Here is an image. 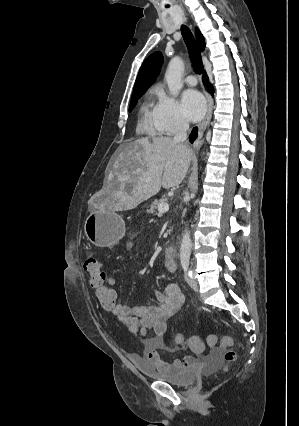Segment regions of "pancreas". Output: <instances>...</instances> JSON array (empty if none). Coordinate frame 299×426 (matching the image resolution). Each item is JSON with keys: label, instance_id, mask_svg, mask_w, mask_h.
I'll list each match as a JSON object with an SVG mask.
<instances>
[{"label": "pancreas", "instance_id": "cf45deb5", "mask_svg": "<svg viewBox=\"0 0 299 426\" xmlns=\"http://www.w3.org/2000/svg\"><path fill=\"white\" fill-rule=\"evenodd\" d=\"M167 202V198H161L159 200H155L154 202H152V204L150 205V208L147 210L148 213L151 214H155L156 210L158 209L159 204L161 203H166Z\"/></svg>", "mask_w": 299, "mask_h": 426}]
</instances>
